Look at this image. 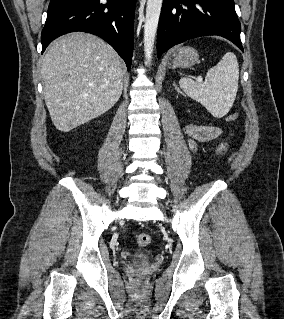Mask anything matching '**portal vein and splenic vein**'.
Masks as SVG:
<instances>
[{
	"mask_svg": "<svg viewBox=\"0 0 284 319\" xmlns=\"http://www.w3.org/2000/svg\"><path fill=\"white\" fill-rule=\"evenodd\" d=\"M197 81L202 82L203 81L202 77H198Z\"/></svg>",
	"mask_w": 284,
	"mask_h": 319,
	"instance_id": "1",
	"label": "portal vein and splenic vein"
}]
</instances>
